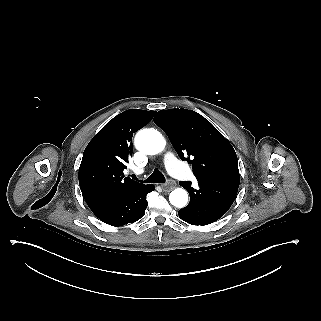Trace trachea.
<instances>
[{
    "label": "trachea",
    "instance_id": "obj_1",
    "mask_svg": "<svg viewBox=\"0 0 321 321\" xmlns=\"http://www.w3.org/2000/svg\"><path fill=\"white\" fill-rule=\"evenodd\" d=\"M132 178L138 180L134 174H132ZM140 181L143 183H165L166 180L164 175L158 169H155L154 172L146 180Z\"/></svg>",
    "mask_w": 321,
    "mask_h": 321
}]
</instances>
